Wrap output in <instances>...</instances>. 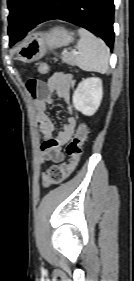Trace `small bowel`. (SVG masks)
Segmentation results:
<instances>
[{"label":"small bowel","instance_id":"1","mask_svg":"<svg viewBox=\"0 0 134 281\" xmlns=\"http://www.w3.org/2000/svg\"><path fill=\"white\" fill-rule=\"evenodd\" d=\"M27 89L35 99L37 120L42 134L41 157L44 162L60 163L64 160L62 147L72 137L76 119L70 102L71 77L64 73H55L46 82L36 79L27 81ZM54 97L59 98L67 106L69 116L61 131L55 133V125L47 114L48 106L54 102Z\"/></svg>","mask_w":134,"mask_h":281}]
</instances>
